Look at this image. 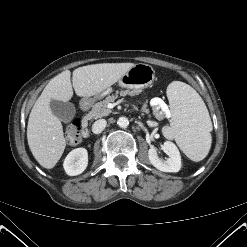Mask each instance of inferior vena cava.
<instances>
[{"label": "inferior vena cava", "instance_id": "obj_1", "mask_svg": "<svg viewBox=\"0 0 247 247\" xmlns=\"http://www.w3.org/2000/svg\"><path fill=\"white\" fill-rule=\"evenodd\" d=\"M107 125L106 120L100 119L94 122L92 125V132L95 134L101 133Z\"/></svg>", "mask_w": 247, "mask_h": 247}]
</instances>
